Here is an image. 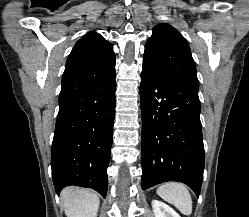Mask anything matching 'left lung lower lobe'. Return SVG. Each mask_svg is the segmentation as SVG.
Masks as SVG:
<instances>
[{"mask_svg": "<svg viewBox=\"0 0 249 217\" xmlns=\"http://www.w3.org/2000/svg\"><path fill=\"white\" fill-rule=\"evenodd\" d=\"M199 88L158 77L142 67V189L166 181L200 194L205 164Z\"/></svg>", "mask_w": 249, "mask_h": 217, "instance_id": "0a47b994", "label": "left lung lower lobe"}]
</instances>
